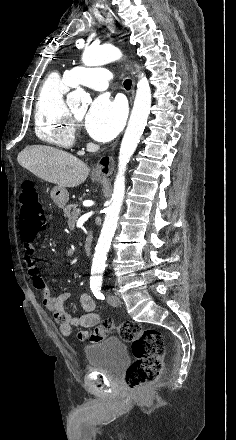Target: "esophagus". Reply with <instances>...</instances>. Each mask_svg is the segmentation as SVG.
I'll list each match as a JSON object with an SVG mask.
<instances>
[{"label":"esophagus","instance_id":"obj_1","mask_svg":"<svg viewBox=\"0 0 236 440\" xmlns=\"http://www.w3.org/2000/svg\"><path fill=\"white\" fill-rule=\"evenodd\" d=\"M135 82L132 84V96L134 95ZM114 169V161L111 156L102 157L96 164L93 174L98 177L106 178L111 175Z\"/></svg>","mask_w":236,"mask_h":440}]
</instances>
